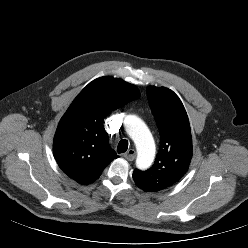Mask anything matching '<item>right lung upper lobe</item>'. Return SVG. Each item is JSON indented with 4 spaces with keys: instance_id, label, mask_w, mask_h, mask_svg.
<instances>
[{
    "instance_id": "cb5924a9",
    "label": "right lung upper lobe",
    "mask_w": 248,
    "mask_h": 248,
    "mask_svg": "<svg viewBox=\"0 0 248 248\" xmlns=\"http://www.w3.org/2000/svg\"><path fill=\"white\" fill-rule=\"evenodd\" d=\"M139 96L134 85L111 76L93 80L78 94L54 137V156L66 175L84 185L100 177L118 157L109 146L103 120L109 112Z\"/></svg>"
}]
</instances>
